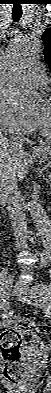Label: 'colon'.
I'll return each instance as SVG.
<instances>
[{
  "label": "colon",
  "mask_w": 51,
  "mask_h": 393,
  "mask_svg": "<svg viewBox=\"0 0 51 393\" xmlns=\"http://www.w3.org/2000/svg\"><path fill=\"white\" fill-rule=\"evenodd\" d=\"M12 326L5 329L1 334V352L4 359V376L15 384H22L28 377L23 368L20 348L22 337L25 334L39 337V332L34 324L26 318L12 317Z\"/></svg>",
  "instance_id": "obj_1"
}]
</instances>
